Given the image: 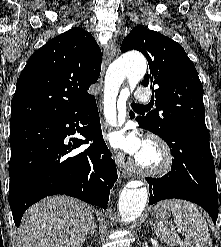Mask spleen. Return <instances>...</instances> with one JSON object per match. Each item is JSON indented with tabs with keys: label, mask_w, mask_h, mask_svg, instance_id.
<instances>
[{
	"label": "spleen",
	"mask_w": 221,
	"mask_h": 247,
	"mask_svg": "<svg viewBox=\"0 0 221 247\" xmlns=\"http://www.w3.org/2000/svg\"><path fill=\"white\" fill-rule=\"evenodd\" d=\"M167 208L175 217V224L182 229L185 240L181 241L178 234L168 229L162 220L154 225V231L161 240L170 246L212 247L207 223L194 204L180 201L167 204Z\"/></svg>",
	"instance_id": "1"
}]
</instances>
